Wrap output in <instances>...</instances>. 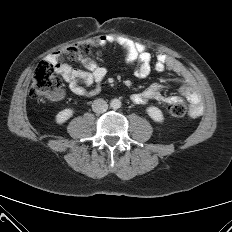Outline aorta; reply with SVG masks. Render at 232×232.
I'll return each instance as SVG.
<instances>
[{"label":"aorta","mask_w":232,"mask_h":232,"mask_svg":"<svg viewBox=\"0 0 232 232\" xmlns=\"http://www.w3.org/2000/svg\"><path fill=\"white\" fill-rule=\"evenodd\" d=\"M110 107L112 109H119L121 107V101L119 99H112L110 102Z\"/></svg>","instance_id":"762f6f07"}]
</instances>
